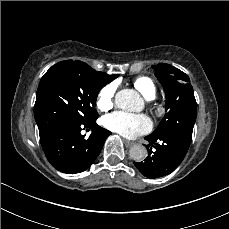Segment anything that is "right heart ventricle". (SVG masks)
Returning <instances> with one entry per match:
<instances>
[{
  "mask_svg": "<svg viewBox=\"0 0 229 229\" xmlns=\"http://www.w3.org/2000/svg\"><path fill=\"white\" fill-rule=\"evenodd\" d=\"M133 85L147 100H152L156 97V87L148 77L139 76L135 78Z\"/></svg>",
  "mask_w": 229,
  "mask_h": 229,
  "instance_id": "1",
  "label": "right heart ventricle"
}]
</instances>
